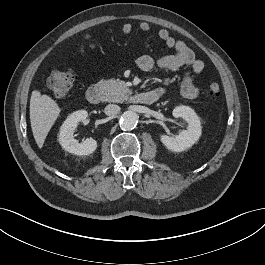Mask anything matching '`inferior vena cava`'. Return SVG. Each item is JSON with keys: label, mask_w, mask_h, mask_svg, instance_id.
Segmentation results:
<instances>
[{"label": "inferior vena cava", "mask_w": 265, "mask_h": 265, "mask_svg": "<svg viewBox=\"0 0 265 265\" xmlns=\"http://www.w3.org/2000/svg\"><path fill=\"white\" fill-rule=\"evenodd\" d=\"M104 112L108 116H115L120 112V107L115 104H109L105 107Z\"/></svg>", "instance_id": "1"}]
</instances>
